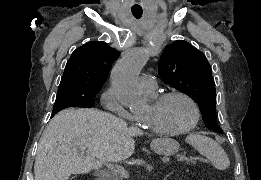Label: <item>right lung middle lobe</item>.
<instances>
[{
  "label": "right lung middle lobe",
  "mask_w": 261,
  "mask_h": 180,
  "mask_svg": "<svg viewBox=\"0 0 261 180\" xmlns=\"http://www.w3.org/2000/svg\"><path fill=\"white\" fill-rule=\"evenodd\" d=\"M100 89L87 86L59 87L52 116L68 107H92Z\"/></svg>",
  "instance_id": "obj_1"
}]
</instances>
